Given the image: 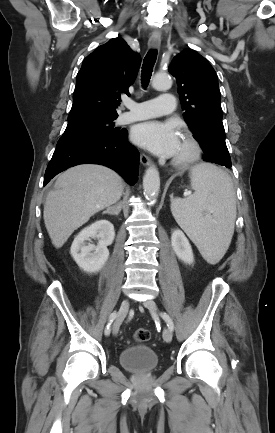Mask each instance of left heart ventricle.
Wrapping results in <instances>:
<instances>
[{
    "label": "left heart ventricle",
    "instance_id": "obj_1",
    "mask_svg": "<svg viewBox=\"0 0 275 433\" xmlns=\"http://www.w3.org/2000/svg\"><path fill=\"white\" fill-rule=\"evenodd\" d=\"M187 152H188V146L185 140L181 137L174 157H181L185 155Z\"/></svg>",
    "mask_w": 275,
    "mask_h": 433
}]
</instances>
